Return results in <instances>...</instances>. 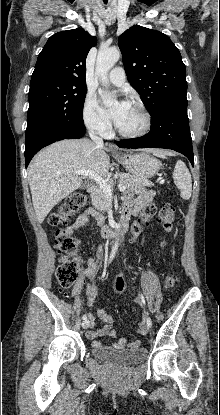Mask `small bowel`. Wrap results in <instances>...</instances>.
<instances>
[{"mask_svg":"<svg viewBox=\"0 0 220 415\" xmlns=\"http://www.w3.org/2000/svg\"><path fill=\"white\" fill-rule=\"evenodd\" d=\"M154 193L153 191L141 189L139 191V196L137 198H134V191L128 190L125 193L123 206H122V214L129 213L130 216L134 215L138 217L136 221L133 222L131 229H130V235L131 239L134 240L138 236H140L145 226L148 224V221L151 217H145L143 215V209L145 206L150 205L153 202ZM94 218L96 219L100 224H103L104 219L103 215L99 213L96 209L90 207L86 209L82 214H80L77 219L73 222V224L68 228V231L71 233H76L79 230L83 229L85 226L88 225L90 222V219ZM104 257V251L101 245H98L96 248L95 255L90 257L88 259L87 268L84 272V275L86 278L90 280L89 286L85 290V298L87 305L89 307H92L95 302L96 298V286H95V274L101 265ZM126 286V279L120 278L114 283V291L119 293L121 292ZM84 287V280L80 279L74 290L73 294L74 296H79L82 294ZM97 317L104 323V326L100 329H95L94 324V316L93 314H90V327L91 330H89L86 333V337L88 339H95L100 336L107 335L109 337H115L118 334V331L113 327V320L112 318L107 314V312L103 309H99L97 311ZM148 333V329L144 322H141L139 324V334L141 336H146ZM142 340L137 339L133 342L128 343L127 339L125 337L120 338L117 342L113 344V348L117 350L121 349H137L140 347ZM92 346H103L98 341H93Z\"/></svg>","mask_w":220,"mask_h":415,"instance_id":"small-bowel-1","label":"small bowel"}]
</instances>
